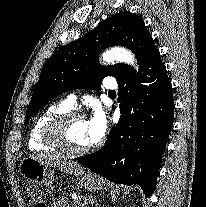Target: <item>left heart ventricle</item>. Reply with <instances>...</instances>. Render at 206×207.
I'll return each instance as SVG.
<instances>
[{
	"mask_svg": "<svg viewBox=\"0 0 206 207\" xmlns=\"http://www.w3.org/2000/svg\"><path fill=\"white\" fill-rule=\"evenodd\" d=\"M63 136L67 145L72 149H84L91 146L87 121L71 122L64 128Z\"/></svg>",
	"mask_w": 206,
	"mask_h": 207,
	"instance_id": "1",
	"label": "left heart ventricle"
}]
</instances>
